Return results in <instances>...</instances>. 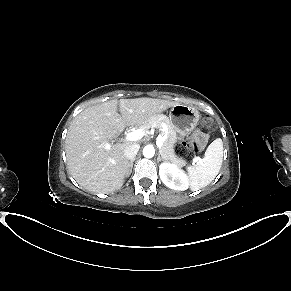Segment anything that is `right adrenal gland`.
Segmentation results:
<instances>
[{
    "mask_svg": "<svg viewBox=\"0 0 291 291\" xmlns=\"http://www.w3.org/2000/svg\"><path fill=\"white\" fill-rule=\"evenodd\" d=\"M135 161V158L130 160L129 162V171H128V176L131 174L132 172V168H133V162Z\"/></svg>",
    "mask_w": 291,
    "mask_h": 291,
    "instance_id": "2a0ac1e0",
    "label": "right adrenal gland"
}]
</instances>
